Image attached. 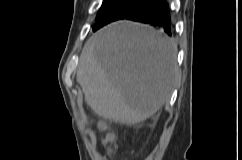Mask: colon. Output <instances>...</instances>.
I'll return each mask as SVG.
<instances>
[{
  "instance_id": "5ec220e1",
  "label": "colon",
  "mask_w": 242,
  "mask_h": 160,
  "mask_svg": "<svg viewBox=\"0 0 242 160\" xmlns=\"http://www.w3.org/2000/svg\"><path fill=\"white\" fill-rule=\"evenodd\" d=\"M99 130H104L105 129V124L103 122H99L97 125ZM111 137L110 136H106L105 141H110Z\"/></svg>"
}]
</instances>
